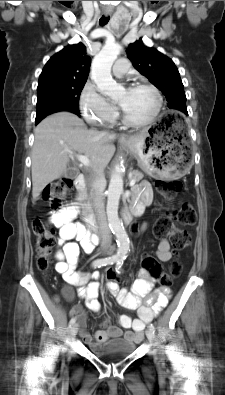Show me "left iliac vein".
Wrapping results in <instances>:
<instances>
[{"mask_svg":"<svg viewBox=\"0 0 225 395\" xmlns=\"http://www.w3.org/2000/svg\"><path fill=\"white\" fill-rule=\"evenodd\" d=\"M146 336H147V338H148V340H149L150 342L154 343V341H155V335H154V332H153L151 329H147V331H146Z\"/></svg>","mask_w":225,"mask_h":395,"instance_id":"4c4485c4","label":"left iliac vein"}]
</instances>
